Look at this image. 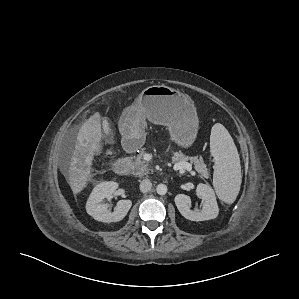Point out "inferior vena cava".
Returning <instances> with one entry per match:
<instances>
[{"instance_id":"1","label":"inferior vena cava","mask_w":299,"mask_h":299,"mask_svg":"<svg viewBox=\"0 0 299 299\" xmlns=\"http://www.w3.org/2000/svg\"><path fill=\"white\" fill-rule=\"evenodd\" d=\"M140 191L145 193L151 190L152 188V183L149 179H144L140 182Z\"/></svg>"}]
</instances>
